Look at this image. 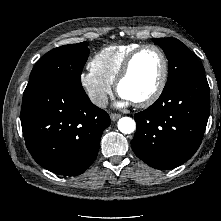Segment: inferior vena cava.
I'll return each mask as SVG.
<instances>
[{
    "instance_id": "obj_1",
    "label": "inferior vena cava",
    "mask_w": 221,
    "mask_h": 221,
    "mask_svg": "<svg viewBox=\"0 0 221 221\" xmlns=\"http://www.w3.org/2000/svg\"><path fill=\"white\" fill-rule=\"evenodd\" d=\"M90 100L98 107H106L108 103V96L103 92L94 93L90 95Z\"/></svg>"
}]
</instances>
